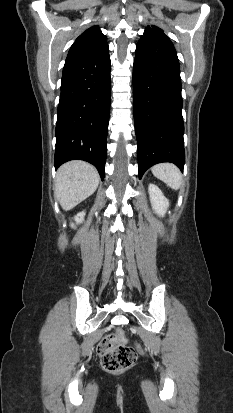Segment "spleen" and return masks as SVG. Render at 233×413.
Returning a JSON list of instances; mask_svg holds the SVG:
<instances>
[{"instance_id": "obj_1", "label": "spleen", "mask_w": 233, "mask_h": 413, "mask_svg": "<svg viewBox=\"0 0 233 413\" xmlns=\"http://www.w3.org/2000/svg\"><path fill=\"white\" fill-rule=\"evenodd\" d=\"M153 175L166 183L170 188L178 190L182 184L180 170L171 163H161L152 167Z\"/></svg>"}]
</instances>
